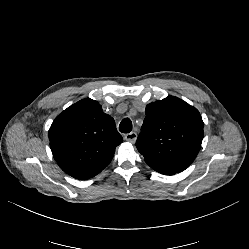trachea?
I'll return each mask as SVG.
<instances>
[{"label":"trachea","instance_id":"3493384b","mask_svg":"<svg viewBox=\"0 0 249 249\" xmlns=\"http://www.w3.org/2000/svg\"><path fill=\"white\" fill-rule=\"evenodd\" d=\"M119 130L122 133H129L132 130V122L129 118H125L121 121L119 125Z\"/></svg>","mask_w":249,"mask_h":249}]
</instances>
